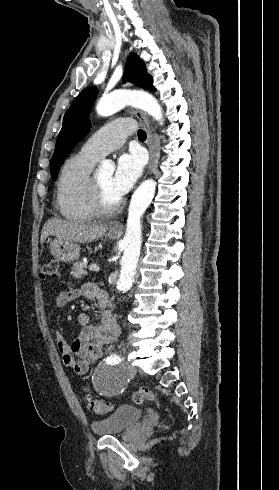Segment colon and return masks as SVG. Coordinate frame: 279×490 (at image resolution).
I'll use <instances>...</instances> for the list:
<instances>
[{
	"label": "colon",
	"instance_id": "obj_1",
	"mask_svg": "<svg viewBox=\"0 0 279 490\" xmlns=\"http://www.w3.org/2000/svg\"><path fill=\"white\" fill-rule=\"evenodd\" d=\"M58 272V262L56 260H50L45 263L41 268V276L43 278H56ZM132 399L135 403L141 404L145 400L157 401L158 397L154 392L148 388L140 389L134 392ZM87 406L89 410L98 415H109L113 411L112 404L107 400H99L91 397L86 398Z\"/></svg>",
	"mask_w": 279,
	"mask_h": 490
}]
</instances>
